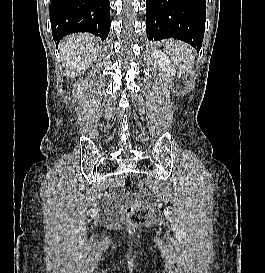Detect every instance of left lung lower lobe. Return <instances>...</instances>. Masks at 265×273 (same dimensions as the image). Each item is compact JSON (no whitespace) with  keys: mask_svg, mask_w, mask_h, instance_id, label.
Returning <instances> with one entry per match:
<instances>
[{"mask_svg":"<svg viewBox=\"0 0 265 273\" xmlns=\"http://www.w3.org/2000/svg\"><path fill=\"white\" fill-rule=\"evenodd\" d=\"M205 19L206 0H146V32L152 42L174 38L199 51Z\"/></svg>","mask_w":265,"mask_h":273,"instance_id":"0a47b994","label":"left lung lower lobe"}]
</instances>
